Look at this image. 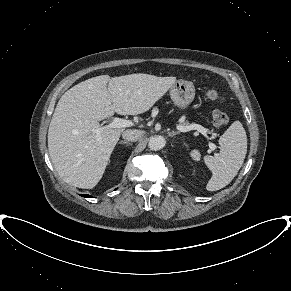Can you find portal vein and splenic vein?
<instances>
[{"mask_svg":"<svg viewBox=\"0 0 291 291\" xmlns=\"http://www.w3.org/2000/svg\"><path fill=\"white\" fill-rule=\"evenodd\" d=\"M132 124H133L132 121L116 117V118H114V120L111 123H109L108 125L104 126V128L105 129L125 128V127H130ZM177 129L179 131H181V132H188V131H191V130H197L198 132L203 134L205 137H207L206 129L203 126L199 125V124H191V125H187V126L178 125ZM97 133L99 134V131ZM209 148L211 150H215L216 145H214L213 143H209Z\"/></svg>","mask_w":291,"mask_h":291,"instance_id":"obj_1","label":"portal vein and splenic vein"}]
</instances>
